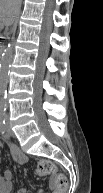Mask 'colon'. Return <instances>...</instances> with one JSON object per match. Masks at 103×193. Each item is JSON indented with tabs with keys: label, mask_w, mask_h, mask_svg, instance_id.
<instances>
[{
	"label": "colon",
	"mask_w": 103,
	"mask_h": 193,
	"mask_svg": "<svg viewBox=\"0 0 103 193\" xmlns=\"http://www.w3.org/2000/svg\"><path fill=\"white\" fill-rule=\"evenodd\" d=\"M37 171L42 176L54 175L53 182L55 186L63 193L67 186V177L61 173L57 172L55 164L48 159H41L38 162Z\"/></svg>",
	"instance_id": "obj_1"
}]
</instances>
